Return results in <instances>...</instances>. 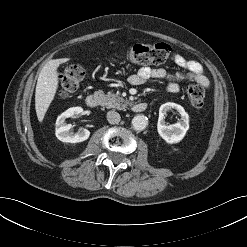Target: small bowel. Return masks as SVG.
Returning <instances> with one entry per match:
<instances>
[{
	"label": "small bowel",
	"instance_id": "1",
	"mask_svg": "<svg viewBox=\"0 0 247 247\" xmlns=\"http://www.w3.org/2000/svg\"><path fill=\"white\" fill-rule=\"evenodd\" d=\"M174 62L182 71L168 74L163 68L142 67L129 77V82L133 85H140L150 78L165 79L167 81V90L173 93L179 91V83L184 80H190L203 88H209V79L199 62L188 60L180 54L175 56Z\"/></svg>",
	"mask_w": 247,
	"mask_h": 247
}]
</instances>
